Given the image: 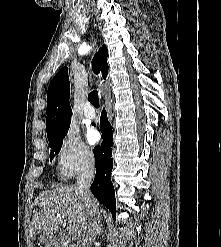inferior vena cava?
<instances>
[{
  "label": "inferior vena cava",
  "instance_id": "602c4592",
  "mask_svg": "<svg viewBox=\"0 0 221 247\" xmlns=\"http://www.w3.org/2000/svg\"><path fill=\"white\" fill-rule=\"evenodd\" d=\"M95 174L93 163L85 165L78 174L76 188L81 195L85 208L87 209L89 220L87 228L80 242L79 247H92L98 234L99 228V211L96 200L92 197L90 185Z\"/></svg>",
  "mask_w": 221,
  "mask_h": 247
}]
</instances>
